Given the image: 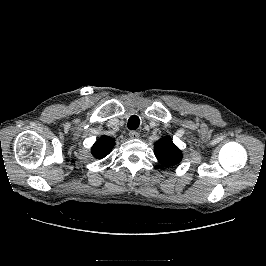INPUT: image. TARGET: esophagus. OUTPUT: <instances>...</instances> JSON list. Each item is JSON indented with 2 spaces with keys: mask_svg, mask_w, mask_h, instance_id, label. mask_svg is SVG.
<instances>
[{
  "mask_svg": "<svg viewBox=\"0 0 266 266\" xmlns=\"http://www.w3.org/2000/svg\"><path fill=\"white\" fill-rule=\"evenodd\" d=\"M129 136L131 139H137L139 138L140 134L137 131H130Z\"/></svg>",
  "mask_w": 266,
  "mask_h": 266,
  "instance_id": "1",
  "label": "esophagus"
}]
</instances>
